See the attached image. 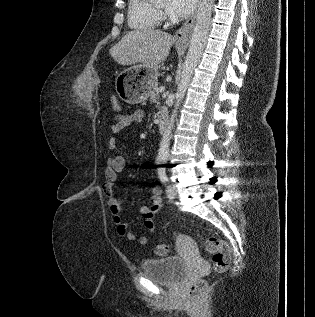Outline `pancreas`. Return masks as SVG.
<instances>
[{
	"label": "pancreas",
	"instance_id": "pancreas-1",
	"mask_svg": "<svg viewBox=\"0 0 315 317\" xmlns=\"http://www.w3.org/2000/svg\"><path fill=\"white\" fill-rule=\"evenodd\" d=\"M149 96H150V102L151 103H156L157 102V99L159 98V89L157 88L156 84L152 87Z\"/></svg>",
	"mask_w": 315,
	"mask_h": 317
}]
</instances>
